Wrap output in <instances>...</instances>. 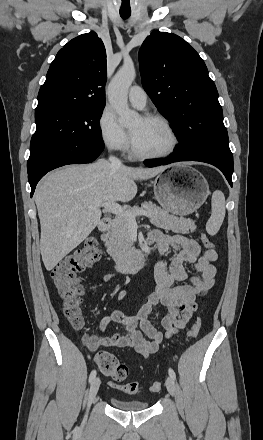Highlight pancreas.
<instances>
[{
	"instance_id": "obj_1",
	"label": "pancreas",
	"mask_w": 263,
	"mask_h": 440,
	"mask_svg": "<svg viewBox=\"0 0 263 440\" xmlns=\"http://www.w3.org/2000/svg\"><path fill=\"white\" fill-rule=\"evenodd\" d=\"M127 211L134 213L135 217L139 216V214H136L137 211L150 212V222L166 231L189 234L196 230L194 220L170 215L152 202H145L141 207L134 206L127 209ZM105 245L108 254L117 264L127 262L136 256L138 251L133 247V242L130 239V226L127 219L117 216L113 220V225L107 234Z\"/></svg>"
}]
</instances>
